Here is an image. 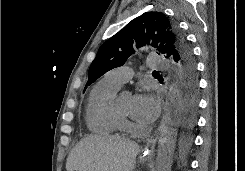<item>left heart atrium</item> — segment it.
I'll list each match as a JSON object with an SVG mask.
<instances>
[{
  "label": "left heart atrium",
  "instance_id": "39dd6f15",
  "mask_svg": "<svg viewBox=\"0 0 245 171\" xmlns=\"http://www.w3.org/2000/svg\"><path fill=\"white\" fill-rule=\"evenodd\" d=\"M159 111V100L149 90H144L134 96L131 115L136 121L150 123L156 119Z\"/></svg>",
  "mask_w": 245,
  "mask_h": 171
}]
</instances>
